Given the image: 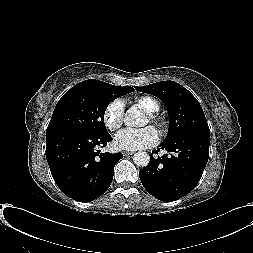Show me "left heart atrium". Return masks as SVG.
I'll return each mask as SVG.
<instances>
[{
    "mask_svg": "<svg viewBox=\"0 0 253 253\" xmlns=\"http://www.w3.org/2000/svg\"><path fill=\"white\" fill-rule=\"evenodd\" d=\"M159 136L155 128L148 126L140 130H123L115 137V147L119 150L134 151L154 146Z\"/></svg>",
    "mask_w": 253,
    "mask_h": 253,
    "instance_id": "obj_1",
    "label": "left heart atrium"
}]
</instances>
